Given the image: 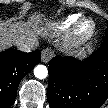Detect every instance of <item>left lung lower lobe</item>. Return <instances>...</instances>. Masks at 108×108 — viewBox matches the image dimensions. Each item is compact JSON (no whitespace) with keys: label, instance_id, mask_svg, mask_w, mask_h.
<instances>
[{"label":"left lung lower lobe","instance_id":"0a47b994","mask_svg":"<svg viewBox=\"0 0 108 108\" xmlns=\"http://www.w3.org/2000/svg\"><path fill=\"white\" fill-rule=\"evenodd\" d=\"M47 97L50 108H100L108 98V37L84 61L52 58Z\"/></svg>","mask_w":108,"mask_h":108}]
</instances>
